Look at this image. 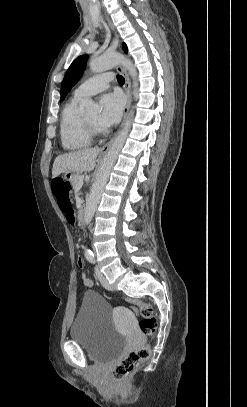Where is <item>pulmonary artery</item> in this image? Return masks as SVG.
I'll use <instances>...</instances> for the list:
<instances>
[{"label":"pulmonary artery","mask_w":247,"mask_h":407,"mask_svg":"<svg viewBox=\"0 0 247 407\" xmlns=\"http://www.w3.org/2000/svg\"><path fill=\"white\" fill-rule=\"evenodd\" d=\"M114 77L111 73L96 75L82 84H80L74 92V96L77 98H87L104 91L108 88L109 83L113 81Z\"/></svg>","instance_id":"e3ab8cb5"}]
</instances>
